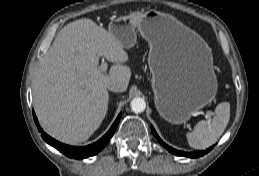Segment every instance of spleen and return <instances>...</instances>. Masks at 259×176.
<instances>
[{"label":"spleen","instance_id":"spleen-1","mask_svg":"<svg viewBox=\"0 0 259 176\" xmlns=\"http://www.w3.org/2000/svg\"><path fill=\"white\" fill-rule=\"evenodd\" d=\"M230 119V104L222 102L215 109V116L211 120H201L193 130L187 134L189 145L198 150L206 149L217 142Z\"/></svg>","mask_w":259,"mask_h":176}]
</instances>
